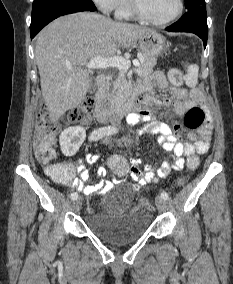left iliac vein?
Masks as SVG:
<instances>
[{
  "instance_id": "4c4485c4",
  "label": "left iliac vein",
  "mask_w": 233,
  "mask_h": 284,
  "mask_svg": "<svg viewBox=\"0 0 233 284\" xmlns=\"http://www.w3.org/2000/svg\"><path fill=\"white\" fill-rule=\"evenodd\" d=\"M155 203L159 212H163L166 209V201L161 197H157Z\"/></svg>"
}]
</instances>
